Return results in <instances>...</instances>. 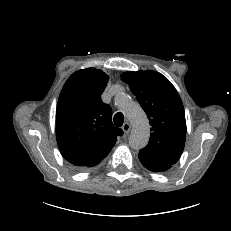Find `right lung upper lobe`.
I'll return each mask as SVG.
<instances>
[{
  "mask_svg": "<svg viewBox=\"0 0 231 231\" xmlns=\"http://www.w3.org/2000/svg\"><path fill=\"white\" fill-rule=\"evenodd\" d=\"M108 79L101 70L82 69L69 77L59 95L57 143L62 156L75 166L99 164L123 134L111 121L110 106L101 101Z\"/></svg>",
  "mask_w": 231,
  "mask_h": 231,
  "instance_id": "cb5924a9",
  "label": "right lung upper lobe"
}]
</instances>
